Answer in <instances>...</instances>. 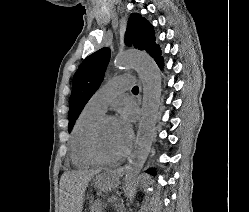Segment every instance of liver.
<instances>
[{
    "mask_svg": "<svg viewBox=\"0 0 249 212\" xmlns=\"http://www.w3.org/2000/svg\"><path fill=\"white\" fill-rule=\"evenodd\" d=\"M102 168L98 170H78V172H67V212H82L85 192L92 182L94 176L97 180L95 188L100 192H111L118 188L120 178L123 176L121 168L119 170H105V174H100Z\"/></svg>",
    "mask_w": 249,
    "mask_h": 212,
    "instance_id": "1",
    "label": "liver"
}]
</instances>
